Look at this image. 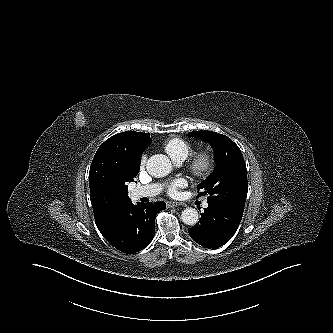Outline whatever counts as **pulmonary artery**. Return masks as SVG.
Listing matches in <instances>:
<instances>
[{
    "label": "pulmonary artery",
    "instance_id": "obj_1",
    "mask_svg": "<svg viewBox=\"0 0 333 333\" xmlns=\"http://www.w3.org/2000/svg\"><path fill=\"white\" fill-rule=\"evenodd\" d=\"M177 164H181L182 161H178L176 162ZM162 190V185L158 184V183H154V184H149V185H145V186H140L137 187L133 190V195L136 198H141V197H153L157 194H159ZM204 207L208 206L207 202L203 203Z\"/></svg>",
    "mask_w": 333,
    "mask_h": 333
}]
</instances>
